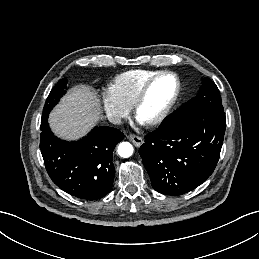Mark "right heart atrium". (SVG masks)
Here are the masks:
<instances>
[{
	"mask_svg": "<svg viewBox=\"0 0 259 259\" xmlns=\"http://www.w3.org/2000/svg\"><path fill=\"white\" fill-rule=\"evenodd\" d=\"M102 103L107 116L114 122H120L130 112V108L120 102L110 91L103 93Z\"/></svg>",
	"mask_w": 259,
	"mask_h": 259,
	"instance_id": "d8ad5b80",
	"label": "right heart atrium"
}]
</instances>
